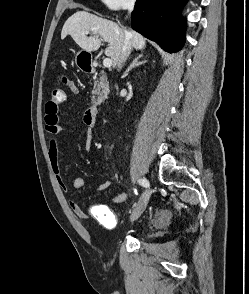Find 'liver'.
I'll use <instances>...</instances> for the list:
<instances>
[{"label":"liver","mask_w":249,"mask_h":294,"mask_svg":"<svg viewBox=\"0 0 249 294\" xmlns=\"http://www.w3.org/2000/svg\"><path fill=\"white\" fill-rule=\"evenodd\" d=\"M86 32L92 36L87 37ZM70 35L79 47L87 52L96 51L102 39L108 42L105 55L111 57L113 66L117 65L118 57L125 37L127 36L136 50L145 48V38L135 31H126L113 21L103 19L87 11H77L65 22L61 38ZM99 36L102 38H99Z\"/></svg>","instance_id":"liver-1"}]
</instances>
